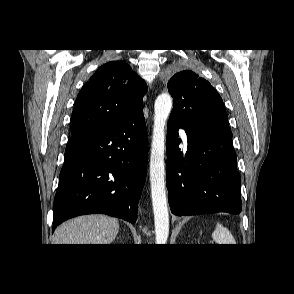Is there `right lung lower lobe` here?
Listing matches in <instances>:
<instances>
[{"instance_id": "right-lung-lower-lobe-1", "label": "right lung lower lobe", "mask_w": 294, "mask_h": 294, "mask_svg": "<svg viewBox=\"0 0 294 294\" xmlns=\"http://www.w3.org/2000/svg\"><path fill=\"white\" fill-rule=\"evenodd\" d=\"M147 156L143 108L110 127L72 136L54 199L53 231L67 219L91 213L134 223Z\"/></svg>"}]
</instances>
